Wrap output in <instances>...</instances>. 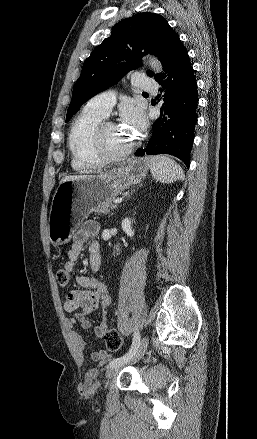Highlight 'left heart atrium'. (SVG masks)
<instances>
[{
	"label": "left heart atrium",
	"instance_id": "1",
	"mask_svg": "<svg viewBox=\"0 0 257 439\" xmlns=\"http://www.w3.org/2000/svg\"><path fill=\"white\" fill-rule=\"evenodd\" d=\"M122 121L124 126L134 133H140L146 127L144 113L135 106H127L122 109Z\"/></svg>",
	"mask_w": 257,
	"mask_h": 439
}]
</instances>
